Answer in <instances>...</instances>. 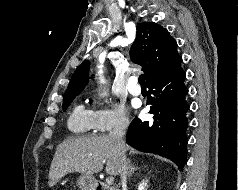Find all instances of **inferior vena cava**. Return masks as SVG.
<instances>
[{
	"mask_svg": "<svg viewBox=\"0 0 238 190\" xmlns=\"http://www.w3.org/2000/svg\"><path fill=\"white\" fill-rule=\"evenodd\" d=\"M128 125H129L128 119L124 117L120 118L117 121L114 129L109 133V136L114 141L120 156V178L123 190H126V177L128 171V162L125 156V141H124L125 130L127 129Z\"/></svg>",
	"mask_w": 238,
	"mask_h": 190,
	"instance_id": "obj_1",
	"label": "inferior vena cava"
}]
</instances>
